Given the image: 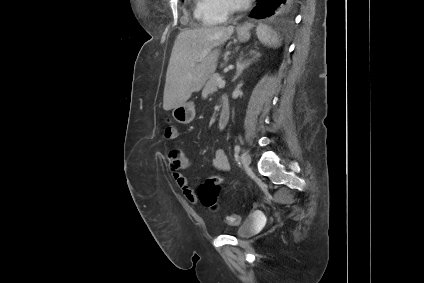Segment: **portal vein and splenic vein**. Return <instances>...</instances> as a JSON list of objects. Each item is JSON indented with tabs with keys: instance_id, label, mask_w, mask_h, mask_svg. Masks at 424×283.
<instances>
[{
	"instance_id": "portal-vein-and-splenic-vein-1",
	"label": "portal vein and splenic vein",
	"mask_w": 424,
	"mask_h": 283,
	"mask_svg": "<svg viewBox=\"0 0 424 283\" xmlns=\"http://www.w3.org/2000/svg\"><path fill=\"white\" fill-rule=\"evenodd\" d=\"M209 51L205 50L203 52V56H206L208 54ZM225 86V80L219 79L218 80V87L222 88Z\"/></svg>"
}]
</instances>
